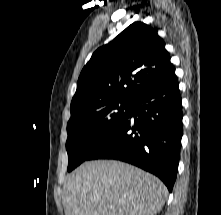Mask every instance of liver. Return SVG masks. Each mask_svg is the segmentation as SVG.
<instances>
[{
  "label": "liver",
  "mask_w": 221,
  "mask_h": 215,
  "mask_svg": "<svg viewBox=\"0 0 221 215\" xmlns=\"http://www.w3.org/2000/svg\"><path fill=\"white\" fill-rule=\"evenodd\" d=\"M168 190L156 176L118 161L85 162L66 178L65 215H156Z\"/></svg>",
  "instance_id": "6515ba94"
}]
</instances>
